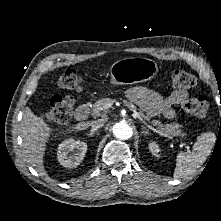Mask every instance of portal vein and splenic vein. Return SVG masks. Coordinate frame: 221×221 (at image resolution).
<instances>
[{
    "label": "portal vein and splenic vein",
    "mask_w": 221,
    "mask_h": 221,
    "mask_svg": "<svg viewBox=\"0 0 221 221\" xmlns=\"http://www.w3.org/2000/svg\"><path fill=\"white\" fill-rule=\"evenodd\" d=\"M112 106V104H109V105H107V109L108 108H110ZM134 113H133V116L135 117V118H138V119H140L141 121H142V118L140 117V115L136 112V111H133ZM158 133H160L161 135H164V136H166L167 138H169V139H172V140H175L172 136H170V135H167V134H164V133H162V132H158ZM180 147H184V148H186L187 150H189L190 149V147H189V144H187V143H181L180 144Z\"/></svg>",
    "instance_id": "portal-vein-and-splenic-vein-1"
}]
</instances>
